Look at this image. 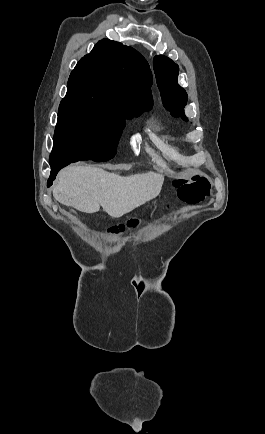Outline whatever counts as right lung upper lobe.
Wrapping results in <instances>:
<instances>
[{"mask_svg":"<svg viewBox=\"0 0 265 434\" xmlns=\"http://www.w3.org/2000/svg\"><path fill=\"white\" fill-rule=\"evenodd\" d=\"M152 74L135 49L109 39L99 41L77 63L67 87H92L109 97L151 108Z\"/></svg>","mask_w":265,"mask_h":434,"instance_id":"obj_1","label":"right lung upper lobe"}]
</instances>
